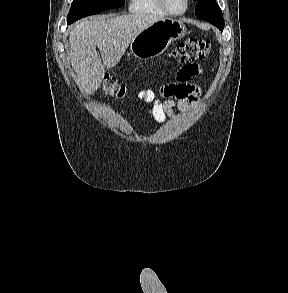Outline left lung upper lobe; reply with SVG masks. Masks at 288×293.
I'll return each mask as SVG.
<instances>
[{
    "instance_id": "left-lung-upper-lobe-1",
    "label": "left lung upper lobe",
    "mask_w": 288,
    "mask_h": 293,
    "mask_svg": "<svg viewBox=\"0 0 288 293\" xmlns=\"http://www.w3.org/2000/svg\"><path fill=\"white\" fill-rule=\"evenodd\" d=\"M196 2V16L206 20L218 27L221 31L224 28V19L216 0H194Z\"/></svg>"
}]
</instances>
